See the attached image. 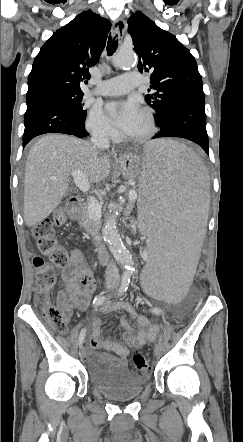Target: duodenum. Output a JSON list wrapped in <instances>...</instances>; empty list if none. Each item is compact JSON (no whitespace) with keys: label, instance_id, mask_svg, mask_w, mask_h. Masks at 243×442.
<instances>
[{"label":"duodenum","instance_id":"obj_1","mask_svg":"<svg viewBox=\"0 0 243 442\" xmlns=\"http://www.w3.org/2000/svg\"><path fill=\"white\" fill-rule=\"evenodd\" d=\"M81 201L78 198H72L68 201V214L75 216L77 214L78 209L80 208ZM96 258L100 263L109 262L111 259L109 250L107 247L102 246L96 250Z\"/></svg>","mask_w":243,"mask_h":442}]
</instances>
